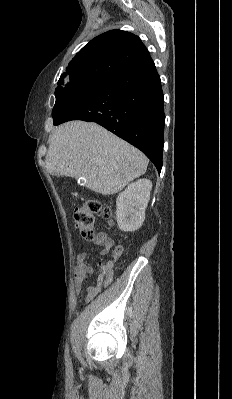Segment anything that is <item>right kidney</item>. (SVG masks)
<instances>
[{
	"instance_id": "1",
	"label": "right kidney",
	"mask_w": 232,
	"mask_h": 399,
	"mask_svg": "<svg viewBox=\"0 0 232 399\" xmlns=\"http://www.w3.org/2000/svg\"><path fill=\"white\" fill-rule=\"evenodd\" d=\"M151 180H137L129 184L116 200L117 223L122 231H135L145 219V209L150 200Z\"/></svg>"
}]
</instances>
